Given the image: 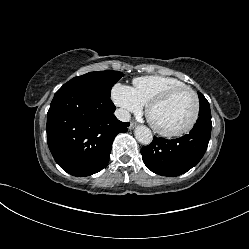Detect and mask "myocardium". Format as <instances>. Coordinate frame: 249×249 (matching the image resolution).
<instances>
[{"label":"myocardium","mask_w":249,"mask_h":249,"mask_svg":"<svg viewBox=\"0 0 249 249\" xmlns=\"http://www.w3.org/2000/svg\"><path fill=\"white\" fill-rule=\"evenodd\" d=\"M183 91L190 92L192 94L193 98H194V112H193L192 118L190 119V121L188 122V124L186 126H184L183 128H181L179 130L166 131V130L161 129L152 120V112H153V110L157 106L166 103L173 96H175L176 94H178L180 92H183ZM199 113H200V99H199V96H198L197 92L193 88H191L190 86H187V85L174 87V88L164 92L160 96L153 99L148 104L147 110H146L147 118H148V121L151 124L152 128L157 133H159L160 135L165 136V137H180V136L185 135L186 133H188L194 127V125L196 124V122H197V120L199 118Z\"/></svg>","instance_id":"myocardium-1"}]
</instances>
